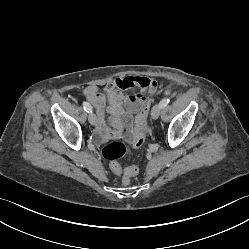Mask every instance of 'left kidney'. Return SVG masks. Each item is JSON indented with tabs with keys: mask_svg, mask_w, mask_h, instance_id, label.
Segmentation results:
<instances>
[{
	"mask_svg": "<svg viewBox=\"0 0 249 249\" xmlns=\"http://www.w3.org/2000/svg\"><path fill=\"white\" fill-rule=\"evenodd\" d=\"M163 91L166 93V94H173L175 91H176V84L173 82V81H166L164 84H163Z\"/></svg>",
	"mask_w": 249,
	"mask_h": 249,
	"instance_id": "1",
	"label": "left kidney"
}]
</instances>
